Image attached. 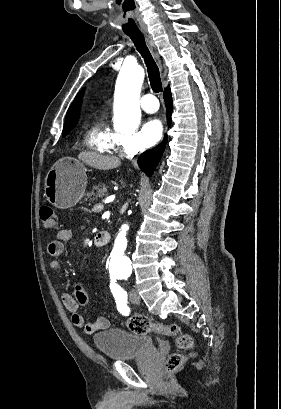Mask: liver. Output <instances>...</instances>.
<instances>
[{
	"mask_svg": "<svg viewBox=\"0 0 281 409\" xmlns=\"http://www.w3.org/2000/svg\"><path fill=\"white\" fill-rule=\"evenodd\" d=\"M78 158L93 166V168H99V170H109V168H116L120 164V158L118 156H111V154H101L96 150H82L78 154Z\"/></svg>",
	"mask_w": 281,
	"mask_h": 409,
	"instance_id": "liver-1",
	"label": "liver"
}]
</instances>
